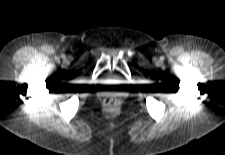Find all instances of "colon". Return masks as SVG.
Masks as SVG:
<instances>
[{
  "mask_svg": "<svg viewBox=\"0 0 225 155\" xmlns=\"http://www.w3.org/2000/svg\"><path fill=\"white\" fill-rule=\"evenodd\" d=\"M117 105H118V101L116 99H108V100H106V106L108 108L112 109V108L117 107Z\"/></svg>",
  "mask_w": 225,
  "mask_h": 155,
  "instance_id": "colon-1",
  "label": "colon"
}]
</instances>
